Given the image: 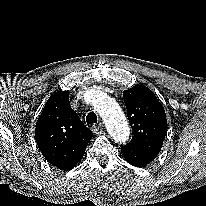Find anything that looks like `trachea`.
Here are the masks:
<instances>
[{"instance_id":"obj_1","label":"trachea","mask_w":206,"mask_h":206,"mask_svg":"<svg viewBox=\"0 0 206 206\" xmlns=\"http://www.w3.org/2000/svg\"><path fill=\"white\" fill-rule=\"evenodd\" d=\"M86 122L88 125L97 123V116L94 112H89L86 116Z\"/></svg>"}]
</instances>
